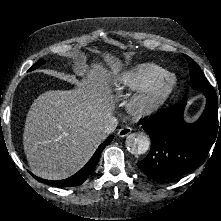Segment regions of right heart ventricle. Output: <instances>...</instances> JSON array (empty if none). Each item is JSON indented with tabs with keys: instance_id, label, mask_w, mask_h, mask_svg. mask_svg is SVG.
I'll list each match as a JSON object with an SVG mask.
<instances>
[{
	"instance_id": "1",
	"label": "right heart ventricle",
	"mask_w": 221,
	"mask_h": 221,
	"mask_svg": "<svg viewBox=\"0 0 221 221\" xmlns=\"http://www.w3.org/2000/svg\"><path fill=\"white\" fill-rule=\"evenodd\" d=\"M167 74L168 72L160 66L142 64L131 70L120 73L116 77L115 83L120 87L142 91L165 77Z\"/></svg>"
}]
</instances>
